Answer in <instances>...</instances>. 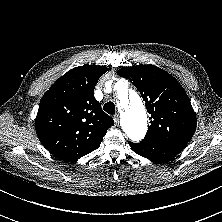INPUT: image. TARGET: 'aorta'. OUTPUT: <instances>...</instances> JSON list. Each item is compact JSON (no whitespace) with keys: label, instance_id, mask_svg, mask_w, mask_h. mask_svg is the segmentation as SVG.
I'll use <instances>...</instances> for the list:
<instances>
[{"label":"aorta","instance_id":"762f6f07","mask_svg":"<svg viewBox=\"0 0 222 222\" xmlns=\"http://www.w3.org/2000/svg\"><path fill=\"white\" fill-rule=\"evenodd\" d=\"M118 97L123 109V129L129 139L140 141L147 131V114L140 98L130 100L126 83H120Z\"/></svg>","mask_w":222,"mask_h":222}]
</instances>
